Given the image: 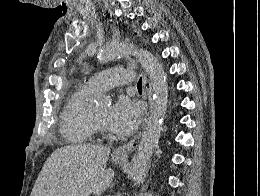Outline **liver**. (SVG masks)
<instances>
[{
	"mask_svg": "<svg viewBox=\"0 0 260 196\" xmlns=\"http://www.w3.org/2000/svg\"><path fill=\"white\" fill-rule=\"evenodd\" d=\"M106 146H64L46 160L30 196H101L110 188L114 170L108 168Z\"/></svg>",
	"mask_w": 260,
	"mask_h": 196,
	"instance_id": "1",
	"label": "liver"
}]
</instances>
